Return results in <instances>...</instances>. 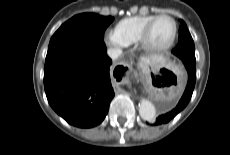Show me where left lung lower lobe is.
<instances>
[{"mask_svg": "<svg viewBox=\"0 0 230 155\" xmlns=\"http://www.w3.org/2000/svg\"><path fill=\"white\" fill-rule=\"evenodd\" d=\"M183 63L188 72V82L184 94L181 97L178 104L176 105V107L171 111L160 115L156 119L154 125H162L168 123L171 119H173L180 111H182L186 107V105L189 103L191 99L195 82H196V61L194 62L191 59H185L183 60Z\"/></svg>", "mask_w": 230, "mask_h": 155, "instance_id": "0a47b994", "label": "left lung lower lobe"}]
</instances>
